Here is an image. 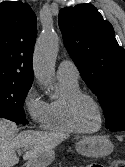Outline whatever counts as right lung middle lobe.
Segmentation results:
<instances>
[{
  "mask_svg": "<svg viewBox=\"0 0 125 167\" xmlns=\"http://www.w3.org/2000/svg\"><path fill=\"white\" fill-rule=\"evenodd\" d=\"M31 85L0 82V109L25 117L24 100Z\"/></svg>",
  "mask_w": 125,
  "mask_h": 167,
  "instance_id": "dd1d6c3e",
  "label": "right lung middle lobe"
}]
</instances>
